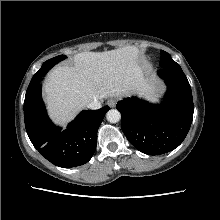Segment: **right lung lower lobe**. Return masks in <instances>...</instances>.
I'll list each match as a JSON object with an SVG mask.
<instances>
[{
    "label": "right lung lower lobe",
    "mask_w": 220,
    "mask_h": 220,
    "mask_svg": "<svg viewBox=\"0 0 220 220\" xmlns=\"http://www.w3.org/2000/svg\"><path fill=\"white\" fill-rule=\"evenodd\" d=\"M55 64L41 69L35 87L26 92L24 120L27 134L39 153L56 166L71 168L87 163L96 149L98 128L109 110H84L67 129L55 126L49 119L41 96L40 81Z\"/></svg>",
    "instance_id": "1"
}]
</instances>
